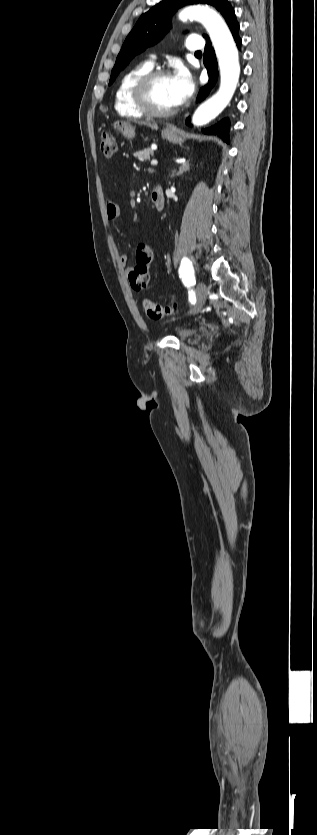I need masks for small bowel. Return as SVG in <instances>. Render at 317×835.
<instances>
[{"label": "small bowel", "instance_id": "small-bowel-1", "mask_svg": "<svg viewBox=\"0 0 317 835\" xmlns=\"http://www.w3.org/2000/svg\"><path fill=\"white\" fill-rule=\"evenodd\" d=\"M106 214L109 220L115 221L120 217V209L119 206L113 202L108 201L106 205ZM154 256V249L150 243L144 242L139 244L136 253V261L138 262L140 259L147 260L150 259L152 261ZM120 263L123 266H126L128 263V256L126 254L120 255ZM132 269H130L131 271Z\"/></svg>", "mask_w": 317, "mask_h": 835}]
</instances>
